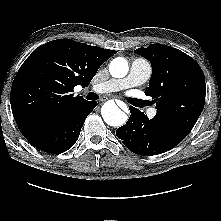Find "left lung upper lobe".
Masks as SVG:
<instances>
[{
  "instance_id": "1",
  "label": "left lung upper lobe",
  "mask_w": 221,
  "mask_h": 221,
  "mask_svg": "<svg viewBox=\"0 0 221 221\" xmlns=\"http://www.w3.org/2000/svg\"><path fill=\"white\" fill-rule=\"evenodd\" d=\"M152 64L145 94L153 98L154 118L182 141L192 130L205 103V77L198 63L184 52L163 44L134 51Z\"/></svg>"
}]
</instances>
